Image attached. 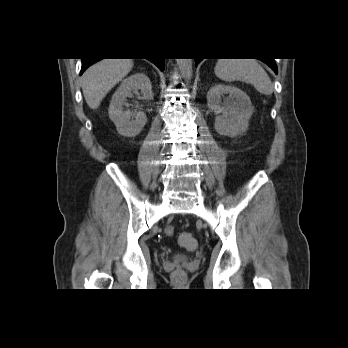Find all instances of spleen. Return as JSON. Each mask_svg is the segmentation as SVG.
<instances>
[{"instance_id": "spleen-1", "label": "spleen", "mask_w": 348, "mask_h": 348, "mask_svg": "<svg viewBox=\"0 0 348 348\" xmlns=\"http://www.w3.org/2000/svg\"><path fill=\"white\" fill-rule=\"evenodd\" d=\"M214 72L225 82L244 81L252 84L263 95L273 93V84L256 59H219Z\"/></svg>"}]
</instances>
